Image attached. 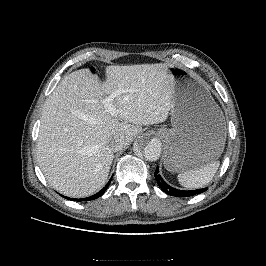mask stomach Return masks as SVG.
<instances>
[{"label":"stomach","mask_w":266,"mask_h":266,"mask_svg":"<svg viewBox=\"0 0 266 266\" xmlns=\"http://www.w3.org/2000/svg\"><path fill=\"white\" fill-rule=\"evenodd\" d=\"M168 72L173 77L172 128L157 131L166 146L164 165L177 173L200 169L223 152L225 117L198 76L178 65Z\"/></svg>","instance_id":"stomach-1"}]
</instances>
